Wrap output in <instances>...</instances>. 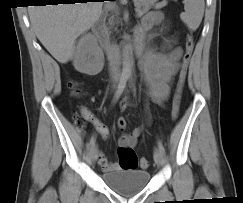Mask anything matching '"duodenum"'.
<instances>
[{
    "mask_svg": "<svg viewBox=\"0 0 243 203\" xmlns=\"http://www.w3.org/2000/svg\"><path fill=\"white\" fill-rule=\"evenodd\" d=\"M104 21L105 17H100L97 21L94 22L91 28L95 38L100 45H103L105 43ZM128 50L131 51L135 57L143 56L145 51L143 42L138 38L134 40L132 46ZM106 51L109 52V54L111 55L115 52L113 47H110L109 45H106Z\"/></svg>",
    "mask_w": 243,
    "mask_h": 203,
    "instance_id": "1",
    "label": "duodenum"
}]
</instances>
